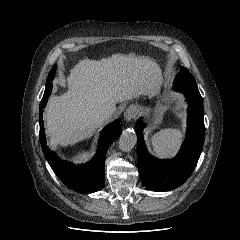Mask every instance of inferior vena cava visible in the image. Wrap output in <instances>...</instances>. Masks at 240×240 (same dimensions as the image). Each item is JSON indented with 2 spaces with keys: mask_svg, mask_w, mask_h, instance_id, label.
Returning a JSON list of instances; mask_svg holds the SVG:
<instances>
[{
  "mask_svg": "<svg viewBox=\"0 0 240 240\" xmlns=\"http://www.w3.org/2000/svg\"><path fill=\"white\" fill-rule=\"evenodd\" d=\"M113 115V112L105 107H98L95 110V117L98 122L103 123L104 121L109 120Z\"/></svg>",
  "mask_w": 240,
  "mask_h": 240,
  "instance_id": "1",
  "label": "inferior vena cava"
}]
</instances>
